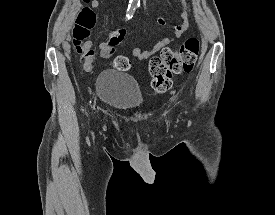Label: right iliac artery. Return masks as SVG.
Segmentation results:
<instances>
[{"label":"right iliac artery","mask_w":275,"mask_h":215,"mask_svg":"<svg viewBox=\"0 0 275 215\" xmlns=\"http://www.w3.org/2000/svg\"><path fill=\"white\" fill-rule=\"evenodd\" d=\"M135 12V7H129L126 14V20H129L133 17V14Z\"/></svg>","instance_id":"1"}]
</instances>
